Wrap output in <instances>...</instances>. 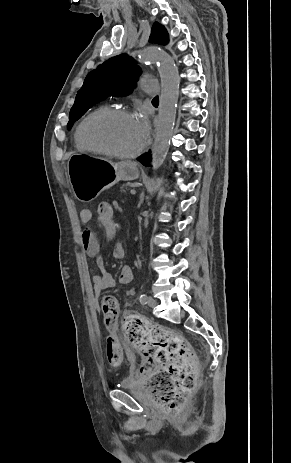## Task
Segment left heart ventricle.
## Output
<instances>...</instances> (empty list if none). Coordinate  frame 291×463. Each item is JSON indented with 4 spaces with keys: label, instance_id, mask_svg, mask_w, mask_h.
I'll use <instances>...</instances> for the list:
<instances>
[{
    "label": "left heart ventricle",
    "instance_id": "obj_1",
    "mask_svg": "<svg viewBox=\"0 0 291 463\" xmlns=\"http://www.w3.org/2000/svg\"><path fill=\"white\" fill-rule=\"evenodd\" d=\"M88 133L94 142L122 153L135 151L144 141L135 118L131 117L97 121L90 126Z\"/></svg>",
    "mask_w": 291,
    "mask_h": 463
}]
</instances>
